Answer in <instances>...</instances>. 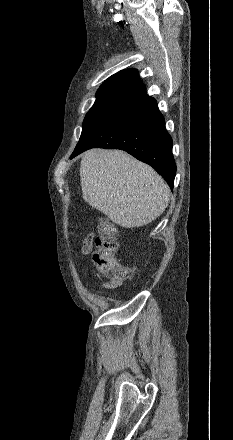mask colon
<instances>
[{
  "label": "colon",
  "instance_id": "1",
  "mask_svg": "<svg viewBox=\"0 0 233 440\" xmlns=\"http://www.w3.org/2000/svg\"><path fill=\"white\" fill-rule=\"evenodd\" d=\"M98 236L95 238L96 251L93 262L98 273L113 283L132 278L134 267L120 263L116 258L118 242L114 225L102 217L98 222Z\"/></svg>",
  "mask_w": 233,
  "mask_h": 440
}]
</instances>
